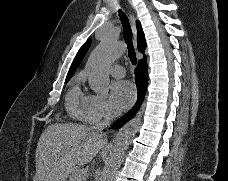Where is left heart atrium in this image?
Returning a JSON list of instances; mask_svg holds the SVG:
<instances>
[{"label":"left heart atrium","instance_id":"obj_1","mask_svg":"<svg viewBox=\"0 0 228 181\" xmlns=\"http://www.w3.org/2000/svg\"><path fill=\"white\" fill-rule=\"evenodd\" d=\"M134 97V88L127 80H118L111 88L112 109H124L127 103Z\"/></svg>","mask_w":228,"mask_h":181}]
</instances>
